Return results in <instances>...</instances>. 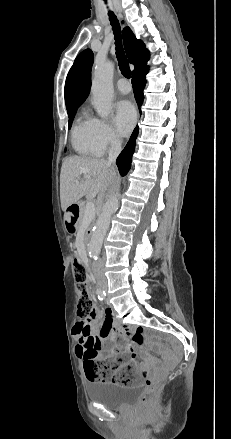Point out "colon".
<instances>
[{
    "mask_svg": "<svg viewBox=\"0 0 231 439\" xmlns=\"http://www.w3.org/2000/svg\"><path fill=\"white\" fill-rule=\"evenodd\" d=\"M73 269L76 289L79 295L77 314L81 319L87 320L92 314V300L87 287V268L81 261L75 259ZM112 366L113 363L110 361L98 360L97 354L91 350H88L84 355V369L86 377L90 381L111 380L119 385H131L137 381L134 367L120 365L111 372ZM158 386L159 382L157 379L146 378V388L140 399L141 404L146 405L153 400Z\"/></svg>",
    "mask_w": 231,
    "mask_h": 439,
    "instance_id": "obj_1",
    "label": "colon"
}]
</instances>
